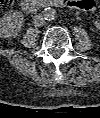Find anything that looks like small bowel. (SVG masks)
Segmentation results:
<instances>
[{"instance_id": "1", "label": "small bowel", "mask_w": 100, "mask_h": 118, "mask_svg": "<svg viewBox=\"0 0 100 118\" xmlns=\"http://www.w3.org/2000/svg\"><path fill=\"white\" fill-rule=\"evenodd\" d=\"M85 3H87L86 0H73L72 1V5H74V6H77V7L81 8V9H84V10H92V9L86 8L85 6H81V5L85 4Z\"/></svg>"}]
</instances>
